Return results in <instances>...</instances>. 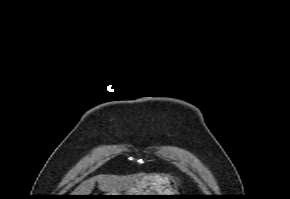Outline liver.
Returning a JSON list of instances; mask_svg holds the SVG:
<instances>
[{
    "label": "liver",
    "instance_id": "6515ba94",
    "mask_svg": "<svg viewBox=\"0 0 290 199\" xmlns=\"http://www.w3.org/2000/svg\"><path fill=\"white\" fill-rule=\"evenodd\" d=\"M98 182L99 189L108 194L120 193L129 188L136 178L134 177H119L115 175H98L96 177L83 181L72 193V195H89Z\"/></svg>",
    "mask_w": 290,
    "mask_h": 199
}]
</instances>
